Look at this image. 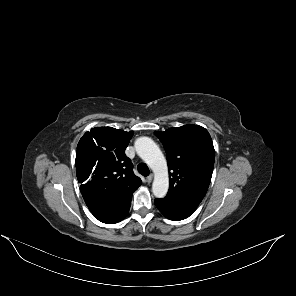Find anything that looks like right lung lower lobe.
<instances>
[{"instance_id":"98d812e1","label":"right lung lower lobe","mask_w":296,"mask_h":296,"mask_svg":"<svg viewBox=\"0 0 296 296\" xmlns=\"http://www.w3.org/2000/svg\"><path fill=\"white\" fill-rule=\"evenodd\" d=\"M132 194L122 198L85 199L86 205L92 214L101 222L114 224L120 222L127 215Z\"/></svg>"}]
</instances>
